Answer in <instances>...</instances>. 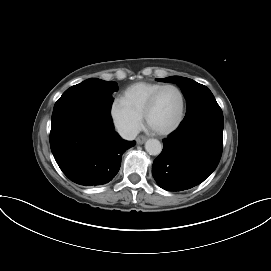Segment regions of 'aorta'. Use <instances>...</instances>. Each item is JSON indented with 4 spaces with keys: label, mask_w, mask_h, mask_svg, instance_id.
Returning <instances> with one entry per match:
<instances>
[{
    "label": "aorta",
    "mask_w": 271,
    "mask_h": 271,
    "mask_svg": "<svg viewBox=\"0 0 271 271\" xmlns=\"http://www.w3.org/2000/svg\"><path fill=\"white\" fill-rule=\"evenodd\" d=\"M145 149L150 155H159L162 151V145L157 139H148L145 143Z\"/></svg>",
    "instance_id": "aorta-1"
}]
</instances>
